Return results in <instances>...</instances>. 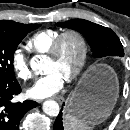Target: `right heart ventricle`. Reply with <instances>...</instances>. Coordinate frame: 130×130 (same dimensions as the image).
Wrapping results in <instances>:
<instances>
[{"label": "right heart ventricle", "mask_w": 130, "mask_h": 130, "mask_svg": "<svg viewBox=\"0 0 130 130\" xmlns=\"http://www.w3.org/2000/svg\"><path fill=\"white\" fill-rule=\"evenodd\" d=\"M60 34L56 29H43L34 33L27 41L28 48L35 53H47L54 39Z\"/></svg>", "instance_id": "e07e8e85"}]
</instances>
